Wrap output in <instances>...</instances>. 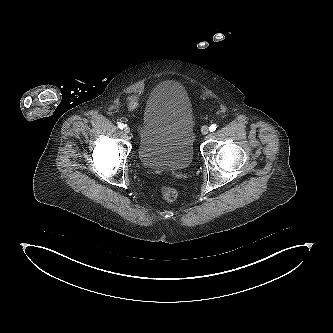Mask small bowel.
<instances>
[{"mask_svg": "<svg viewBox=\"0 0 333 333\" xmlns=\"http://www.w3.org/2000/svg\"><path fill=\"white\" fill-rule=\"evenodd\" d=\"M137 106V97H131L128 102V107L130 110H134Z\"/></svg>", "mask_w": 333, "mask_h": 333, "instance_id": "obj_1", "label": "small bowel"}]
</instances>
